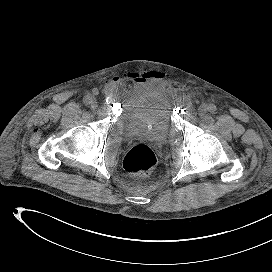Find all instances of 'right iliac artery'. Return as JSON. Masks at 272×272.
I'll use <instances>...</instances> for the list:
<instances>
[{
	"label": "right iliac artery",
	"instance_id": "obj_1",
	"mask_svg": "<svg viewBox=\"0 0 272 272\" xmlns=\"http://www.w3.org/2000/svg\"><path fill=\"white\" fill-rule=\"evenodd\" d=\"M83 101H84V103L86 104V105H88V104H90V96L89 95H87V96H85L84 97V99H83Z\"/></svg>",
	"mask_w": 272,
	"mask_h": 272
}]
</instances>
